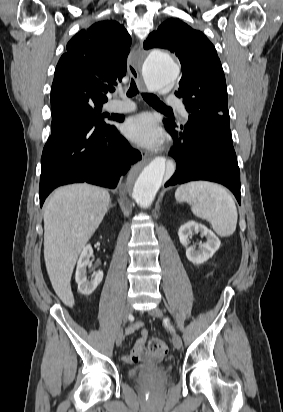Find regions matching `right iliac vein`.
I'll list each match as a JSON object with an SVG mask.
<instances>
[{"label": "right iliac vein", "instance_id": "obj_1", "mask_svg": "<svg viewBox=\"0 0 283 412\" xmlns=\"http://www.w3.org/2000/svg\"><path fill=\"white\" fill-rule=\"evenodd\" d=\"M132 310H133V308H132V306L129 305V304H127V305L124 307V312H123V319H124V321H126V320L128 319V316L132 313ZM123 339H124L123 330H122V329H119V331L117 332V335H116V345H117V346H120L121 343H122V341H123Z\"/></svg>", "mask_w": 283, "mask_h": 412}]
</instances>
